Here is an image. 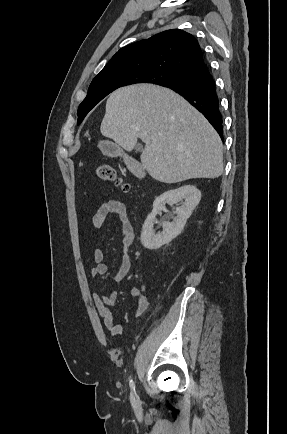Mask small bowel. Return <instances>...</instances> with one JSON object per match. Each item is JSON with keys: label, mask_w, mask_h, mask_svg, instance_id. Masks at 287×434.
I'll return each instance as SVG.
<instances>
[{"label": "small bowel", "mask_w": 287, "mask_h": 434, "mask_svg": "<svg viewBox=\"0 0 287 434\" xmlns=\"http://www.w3.org/2000/svg\"><path fill=\"white\" fill-rule=\"evenodd\" d=\"M112 214L118 216L122 226V263L115 275V279L121 281L131 269L129 248L133 244L135 238L134 228L129 220L127 206L119 200H109L103 203L94 213L91 218V223L93 227L101 228L107 217ZM103 259V250L101 248H96L93 252L94 266L91 269L92 277L104 276L107 273L108 267L103 262ZM131 295L136 300L135 315L136 317H141L148 309V300L143 291L136 287L132 288ZM92 301L98 314L103 320L104 326L112 335H120L123 331V327L120 323L115 322L114 317L109 310V306L114 305L117 301V293L113 291L108 295H103L94 292L92 294Z\"/></svg>", "instance_id": "small-bowel-1"}]
</instances>
